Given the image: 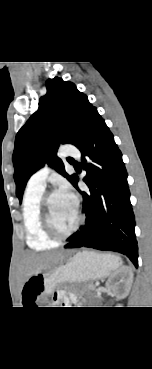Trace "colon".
Masks as SVG:
<instances>
[{"mask_svg": "<svg viewBox=\"0 0 152 369\" xmlns=\"http://www.w3.org/2000/svg\"><path fill=\"white\" fill-rule=\"evenodd\" d=\"M58 300L59 301H62L63 303H65L66 302V296H65V294H59L58 295Z\"/></svg>", "mask_w": 152, "mask_h": 369, "instance_id": "colon-1", "label": "colon"}]
</instances>
